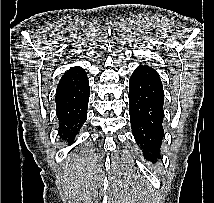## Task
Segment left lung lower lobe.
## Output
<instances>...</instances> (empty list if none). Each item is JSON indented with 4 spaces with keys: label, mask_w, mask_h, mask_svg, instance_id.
Here are the masks:
<instances>
[{
    "label": "left lung lower lobe",
    "mask_w": 214,
    "mask_h": 203,
    "mask_svg": "<svg viewBox=\"0 0 214 203\" xmlns=\"http://www.w3.org/2000/svg\"><path fill=\"white\" fill-rule=\"evenodd\" d=\"M164 91L158 73L139 66L129 81V114L132 133L144 158L156 162L164 137Z\"/></svg>",
    "instance_id": "obj_1"
}]
</instances>
